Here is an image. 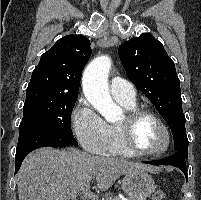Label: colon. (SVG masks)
<instances>
[{
	"label": "colon",
	"mask_w": 201,
	"mask_h": 200,
	"mask_svg": "<svg viewBox=\"0 0 201 200\" xmlns=\"http://www.w3.org/2000/svg\"><path fill=\"white\" fill-rule=\"evenodd\" d=\"M152 200H166L165 192H163V191L154 192Z\"/></svg>",
	"instance_id": "colon-1"
}]
</instances>
